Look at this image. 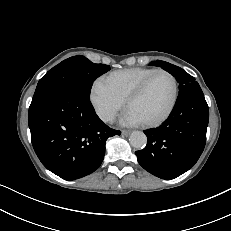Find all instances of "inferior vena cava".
<instances>
[{
    "label": "inferior vena cava",
    "instance_id": "inferior-vena-cava-1",
    "mask_svg": "<svg viewBox=\"0 0 231 231\" xmlns=\"http://www.w3.org/2000/svg\"><path fill=\"white\" fill-rule=\"evenodd\" d=\"M98 115L105 122H112L115 118V114L111 111H100Z\"/></svg>",
    "mask_w": 231,
    "mask_h": 231
}]
</instances>
